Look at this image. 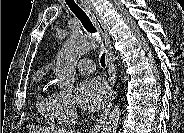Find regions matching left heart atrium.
<instances>
[{
	"mask_svg": "<svg viewBox=\"0 0 184 133\" xmlns=\"http://www.w3.org/2000/svg\"><path fill=\"white\" fill-rule=\"evenodd\" d=\"M108 97V86L100 78L83 80L75 92L77 104L87 112L99 110L106 103Z\"/></svg>",
	"mask_w": 184,
	"mask_h": 133,
	"instance_id": "obj_1",
	"label": "left heart atrium"
}]
</instances>
